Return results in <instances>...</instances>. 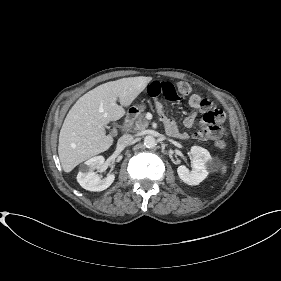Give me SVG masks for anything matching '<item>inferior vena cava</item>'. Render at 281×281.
<instances>
[{
	"label": "inferior vena cava",
	"mask_w": 281,
	"mask_h": 281,
	"mask_svg": "<svg viewBox=\"0 0 281 281\" xmlns=\"http://www.w3.org/2000/svg\"><path fill=\"white\" fill-rule=\"evenodd\" d=\"M133 141V136L130 134H125L118 139L117 146L124 148L131 144Z\"/></svg>",
	"instance_id": "inferior-vena-cava-1"
}]
</instances>
